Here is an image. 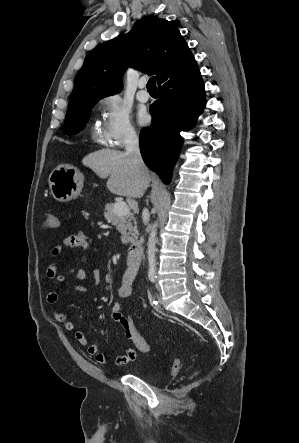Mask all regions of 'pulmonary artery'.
<instances>
[{
  "label": "pulmonary artery",
  "instance_id": "e3ab8cb5",
  "mask_svg": "<svg viewBox=\"0 0 299 443\" xmlns=\"http://www.w3.org/2000/svg\"><path fill=\"white\" fill-rule=\"evenodd\" d=\"M145 87H146V80L145 79H141L140 82H139V91L137 93V99L140 102H147L149 100V94L145 90Z\"/></svg>",
  "mask_w": 299,
  "mask_h": 443
}]
</instances>
